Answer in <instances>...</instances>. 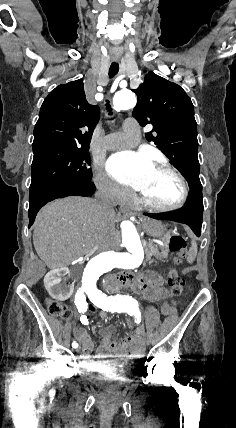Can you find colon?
Returning a JSON list of instances; mask_svg holds the SVG:
<instances>
[{"instance_id": "1", "label": "colon", "mask_w": 236, "mask_h": 428, "mask_svg": "<svg viewBox=\"0 0 236 428\" xmlns=\"http://www.w3.org/2000/svg\"><path fill=\"white\" fill-rule=\"evenodd\" d=\"M169 249L171 252H174L178 256V258L175 259L174 263H179V258H182L186 255L185 239L178 234L172 235L169 240ZM168 283L173 295H180L183 292L185 280L174 267H171L169 269ZM46 305L49 313L52 316L64 320H67L69 318V312L67 308L60 302L49 299L47 300ZM161 310L162 313L166 316H173L175 314V308L169 302H164ZM126 325L131 328L133 327L134 323L132 320L129 319L126 321Z\"/></svg>"}]
</instances>
